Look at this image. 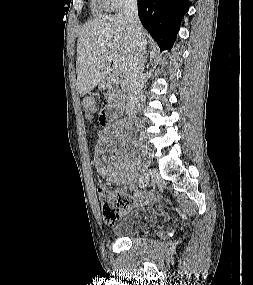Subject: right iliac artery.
Instances as JSON below:
<instances>
[{"mask_svg":"<svg viewBox=\"0 0 253 285\" xmlns=\"http://www.w3.org/2000/svg\"><path fill=\"white\" fill-rule=\"evenodd\" d=\"M130 190H134L135 189V184L134 183H131L130 186H129Z\"/></svg>","mask_w":253,"mask_h":285,"instance_id":"right-iliac-artery-1","label":"right iliac artery"}]
</instances>
